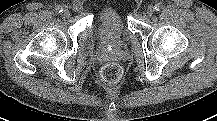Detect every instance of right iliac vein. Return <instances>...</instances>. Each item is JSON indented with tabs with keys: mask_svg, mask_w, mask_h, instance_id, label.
Returning <instances> with one entry per match:
<instances>
[{
	"mask_svg": "<svg viewBox=\"0 0 217 121\" xmlns=\"http://www.w3.org/2000/svg\"><path fill=\"white\" fill-rule=\"evenodd\" d=\"M63 15H64L65 17H69V16H70V11H69L68 9H64V10H63Z\"/></svg>",
	"mask_w": 217,
	"mask_h": 121,
	"instance_id": "63e3f726",
	"label": "right iliac vein"
}]
</instances>
